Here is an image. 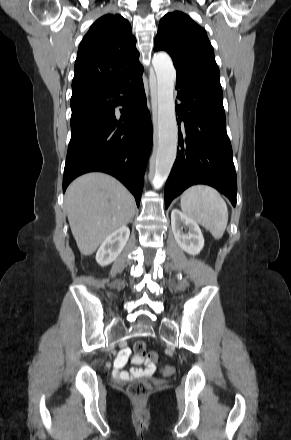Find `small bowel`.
Here are the masks:
<instances>
[{
    "label": "small bowel",
    "instance_id": "1",
    "mask_svg": "<svg viewBox=\"0 0 291 440\" xmlns=\"http://www.w3.org/2000/svg\"><path fill=\"white\" fill-rule=\"evenodd\" d=\"M129 357H130V349L124 348L121 351V353L119 354L118 358L115 360L114 375L117 378L127 379L130 376H135V377L152 376L155 373L156 367L153 362H151L149 360L144 361L143 359L136 360L134 358H132V362L134 364H137V365L144 364V366L140 367V368H132V369H130V371L128 373L123 372L122 369L125 366V364L127 363Z\"/></svg>",
    "mask_w": 291,
    "mask_h": 440
}]
</instances>
